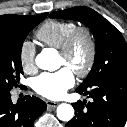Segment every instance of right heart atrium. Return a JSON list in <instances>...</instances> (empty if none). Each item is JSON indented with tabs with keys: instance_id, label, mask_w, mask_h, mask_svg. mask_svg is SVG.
Here are the masks:
<instances>
[{
	"instance_id": "right-heart-atrium-1",
	"label": "right heart atrium",
	"mask_w": 127,
	"mask_h": 127,
	"mask_svg": "<svg viewBox=\"0 0 127 127\" xmlns=\"http://www.w3.org/2000/svg\"><path fill=\"white\" fill-rule=\"evenodd\" d=\"M19 60L24 71L33 72L36 70V48L31 41L25 40L21 43Z\"/></svg>"
}]
</instances>
